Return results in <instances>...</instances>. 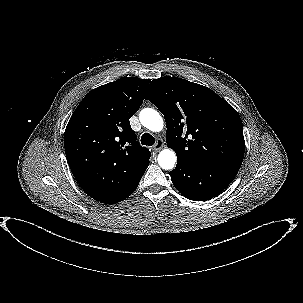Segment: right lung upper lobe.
<instances>
[{"label":"right lung upper lobe","mask_w":303,"mask_h":303,"mask_svg":"<svg viewBox=\"0 0 303 303\" xmlns=\"http://www.w3.org/2000/svg\"><path fill=\"white\" fill-rule=\"evenodd\" d=\"M149 82L122 77L91 90L67 124L69 167L86 194L99 202L124 191L149 165L151 154L136 142L129 122Z\"/></svg>","instance_id":"1"}]
</instances>
